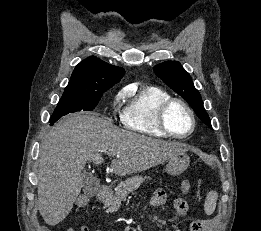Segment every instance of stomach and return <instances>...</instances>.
<instances>
[{"mask_svg": "<svg viewBox=\"0 0 261 231\" xmlns=\"http://www.w3.org/2000/svg\"><path fill=\"white\" fill-rule=\"evenodd\" d=\"M189 163L190 158L185 152L176 154L168 160L166 172L172 176L179 175L187 169Z\"/></svg>", "mask_w": 261, "mask_h": 231, "instance_id": "1", "label": "stomach"}]
</instances>
